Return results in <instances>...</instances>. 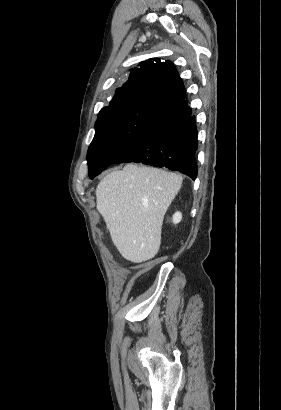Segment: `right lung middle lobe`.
I'll return each mask as SVG.
<instances>
[{"label":"right lung middle lobe","mask_w":281,"mask_h":410,"mask_svg":"<svg viewBox=\"0 0 281 410\" xmlns=\"http://www.w3.org/2000/svg\"><path fill=\"white\" fill-rule=\"evenodd\" d=\"M165 111L143 103L102 109L98 114L95 136L87 154L89 177L93 179L112 164Z\"/></svg>","instance_id":"1"}]
</instances>
